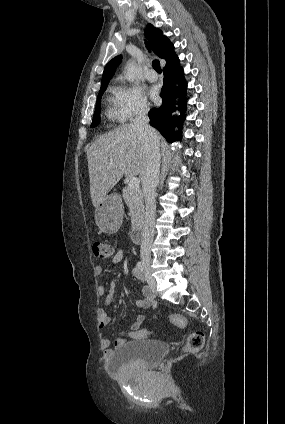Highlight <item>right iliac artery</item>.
Returning a JSON list of instances; mask_svg holds the SVG:
<instances>
[{"label":"right iliac artery","mask_w":285,"mask_h":424,"mask_svg":"<svg viewBox=\"0 0 285 424\" xmlns=\"http://www.w3.org/2000/svg\"><path fill=\"white\" fill-rule=\"evenodd\" d=\"M137 268H138L141 272H144V266H143V263H142V262H138V263H137Z\"/></svg>","instance_id":"1"}]
</instances>
